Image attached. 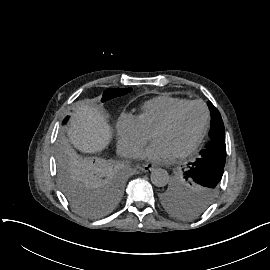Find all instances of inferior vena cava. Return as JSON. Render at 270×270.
Returning a JSON list of instances; mask_svg holds the SVG:
<instances>
[{"mask_svg": "<svg viewBox=\"0 0 270 270\" xmlns=\"http://www.w3.org/2000/svg\"><path fill=\"white\" fill-rule=\"evenodd\" d=\"M116 153L122 157H133L135 154L128 145L120 141L117 143Z\"/></svg>", "mask_w": 270, "mask_h": 270, "instance_id": "1", "label": "inferior vena cava"}]
</instances>
